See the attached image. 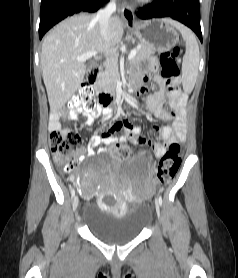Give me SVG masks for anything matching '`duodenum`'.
I'll list each match as a JSON object with an SVG mask.
<instances>
[{
    "mask_svg": "<svg viewBox=\"0 0 238 278\" xmlns=\"http://www.w3.org/2000/svg\"><path fill=\"white\" fill-rule=\"evenodd\" d=\"M99 67L97 66H94L91 70H90V73H89V77H88V80H89V83L95 87L96 85V81H97V77H98V74H99ZM96 92H97V96H98V102L103 105V106H108L112 103V95L107 93V92H104V91H101L99 89L96 88Z\"/></svg>",
    "mask_w": 238,
    "mask_h": 278,
    "instance_id": "1",
    "label": "duodenum"
}]
</instances>
